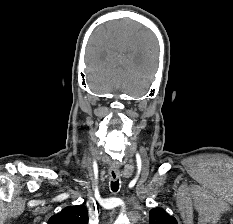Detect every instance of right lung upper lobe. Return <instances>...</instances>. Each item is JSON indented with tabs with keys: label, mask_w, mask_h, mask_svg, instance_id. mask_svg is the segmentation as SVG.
<instances>
[{
	"label": "right lung upper lobe",
	"mask_w": 233,
	"mask_h": 224,
	"mask_svg": "<svg viewBox=\"0 0 233 224\" xmlns=\"http://www.w3.org/2000/svg\"><path fill=\"white\" fill-rule=\"evenodd\" d=\"M48 224H88L87 208L83 205L66 207L59 214L53 215Z\"/></svg>",
	"instance_id": "cb5924a9"
}]
</instances>
